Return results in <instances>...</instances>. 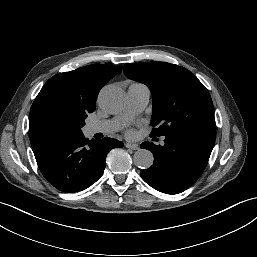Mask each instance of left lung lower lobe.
<instances>
[{"label":"left lung lower lobe","instance_id":"0a47b994","mask_svg":"<svg viewBox=\"0 0 257 257\" xmlns=\"http://www.w3.org/2000/svg\"><path fill=\"white\" fill-rule=\"evenodd\" d=\"M164 142V146L141 144V148L153 153L155 160L140 175L154 189L177 194L194 184L204 171L215 143V130H184L166 136Z\"/></svg>","mask_w":257,"mask_h":257}]
</instances>
